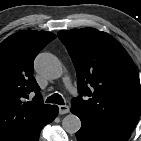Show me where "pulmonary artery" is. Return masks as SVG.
<instances>
[{
	"instance_id": "1",
	"label": "pulmonary artery",
	"mask_w": 141,
	"mask_h": 141,
	"mask_svg": "<svg viewBox=\"0 0 141 141\" xmlns=\"http://www.w3.org/2000/svg\"><path fill=\"white\" fill-rule=\"evenodd\" d=\"M66 81H67V84H68L69 88H71L70 81L68 79H66Z\"/></svg>"
}]
</instances>
